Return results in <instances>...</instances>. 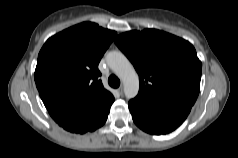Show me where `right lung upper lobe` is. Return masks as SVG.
<instances>
[{"instance_id":"cb5924a9","label":"right lung upper lobe","mask_w":238,"mask_h":158,"mask_svg":"<svg viewBox=\"0 0 238 158\" xmlns=\"http://www.w3.org/2000/svg\"><path fill=\"white\" fill-rule=\"evenodd\" d=\"M117 33L84 22L49 38L39 52L34 79L50 110L114 101L99 76L98 64Z\"/></svg>"}]
</instances>
